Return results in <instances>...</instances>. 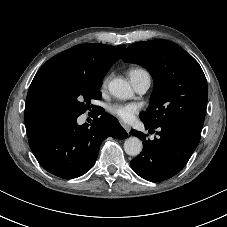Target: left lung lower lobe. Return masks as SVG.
I'll return each mask as SVG.
<instances>
[{
  "label": "left lung lower lobe",
  "mask_w": 227,
  "mask_h": 227,
  "mask_svg": "<svg viewBox=\"0 0 227 227\" xmlns=\"http://www.w3.org/2000/svg\"><path fill=\"white\" fill-rule=\"evenodd\" d=\"M143 123L146 129H157L158 137L150 140L142 132L131 130V135L143 141L142 152L131 161L132 169L140 177L151 182H160L173 177L187 164L199 144L200 133L173 124L153 127Z\"/></svg>",
  "instance_id": "1"
}]
</instances>
